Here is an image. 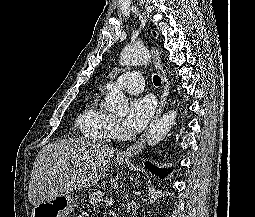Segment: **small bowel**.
<instances>
[{
	"instance_id": "obj_1",
	"label": "small bowel",
	"mask_w": 255,
	"mask_h": 217,
	"mask_svg": "<svg viewBox=\"0 0 255 217\" xmlns=\"http://www.w3.org/2000/svg\"><path fill=\"white\" fill-rule=\"evenodd\" d=\"M79 217H86V214H82V215H80Z\"/></svg>"
}]
</instances>
